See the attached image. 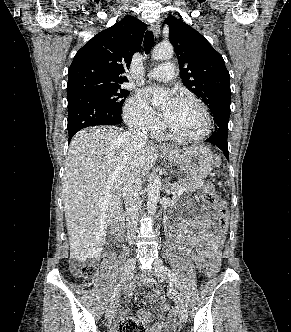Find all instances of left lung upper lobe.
I'll return each instance as SVG.
<instances>
[{"label": "left lung upper lobe", "instance_id": "left-lung-upper-lobe-1", "mask_svg": "<svg viewBox=\"0 0 291 332\" xmlns=\"http://www.w3.org/2000/svg\"><path fill=\"white\" fill-rule=\"evenodd\" d=\"M169 40L179 61L184 86L214 111L231 100L230 75L223 57L199 32L175 18L168 17Z\"/></svg>", "mask_w": 291, "mask_h": 332}]
</instances>
